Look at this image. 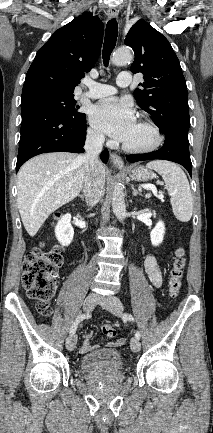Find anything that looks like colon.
<instances>
[{"label":"colon","mask_w":213,"mask_h":433,"mask_svg":"<svg viewBox=\"0 0 213 433\" xmlns=\"http://www.w3.org/2000/svg\"><path fill=\"white\" fill-rule=\"evenodd\" d=\"M62 252L60 246L46 249L40 245L25 255L22 264V285L27 295L38 302L37 310L43 316L51 314L49 304L56 291L57 275L63 261ZM185 263L184 249L178 247L169 272L171 297H176L180 291ZM102 332L107 337L116 335V329L111 324H104Z\"/></svg>","instance_id":"1"}]
</instances>
